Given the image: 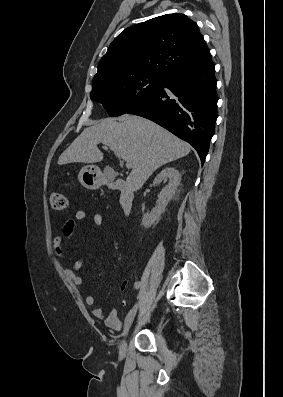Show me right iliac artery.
<instances>
[{"instance_id": "right-iliac-artery-1", "label": "right iliac artery", "mask_w": 283, "mask_h": 397, "mask_svg": "<svg viewBox=\"0 0 283 397\" xmlns=\"http://www.w3.org/2000/svg\"><path fill=\"white\" fill-rule=\"evenodd\" d=\"M135 288H136V289L139 288V284H138V283L135 284ZM134 306H135V305H134ZM130 312H131V310H130ZM130 312H129V313H130ZM128 315H129V314H128Z\"/></svg>"}]
</instances>
